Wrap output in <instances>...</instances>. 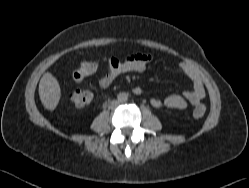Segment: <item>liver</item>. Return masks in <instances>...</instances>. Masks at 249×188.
I'll use <instances>...</instances> for the list:
<instances>
[{
	"mask_svg": "<svg viewBox=\"0 0 249 188\" xmlns=\"http://www.w3.org/2000/svg\"><path fill=\"white\" fill-rule=\"evenodd\" d=\"M39 97L47 110H54L61 97V89L58 80L50 73L43 74L39 82Z\"/></svg>",
	"mask_w": 249,
	"mask_h": 188,
	"instance_id": "1",
	"label": "liver"
}]
</instances>
